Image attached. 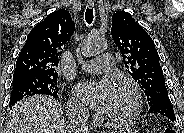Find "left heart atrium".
Segmentation results:
<instances>
[{
  "label": "left heart atrium",
  "mask_w": 184,
  "mask_h": 133,
  "mask_svg": "<svg viewBox=\"0 0 184 133\" xmlns=\"http://www.w3.org/2000/svg\"><path fill=\"white\" fill-rule=\"evenodd\" d=\"M117 89L108 80L83 82L76 87L77 96L97 112H106L116 97Z\"/></svg>",
  "instance_id": "obj_1"
}]
</instances>
